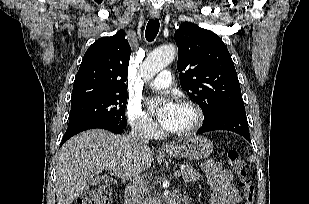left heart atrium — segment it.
<instances>
[{
  "label": "left heart atrium",
  "instance_id": "left-heart-atrium-1",
  "mask_svg": "<svg viewBox=\"0 0 309 204\" xmlns=\"http://www.w3.org/2000/svg\"><path fill=\"white\" fill-rule=\"evenodd\" d=\"M150 107L155 111L161 126L170 130L179 105L172 100H166L159 106L158 101L154 99L150 101Z\"/></svg>",
  "mask_w": 309,
  "mask_h": 204
}]
</instances>
